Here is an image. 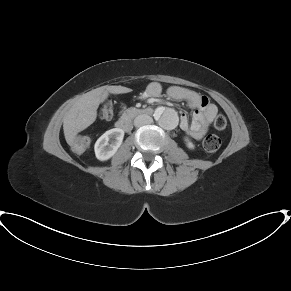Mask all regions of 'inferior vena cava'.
Masks as SVG:
<instances>
[{
  "label": "inferior vena cava",
  "mask_w": 291,
  "mask_h": 291,
  "mask_svg": "<svg viewBox=\"0 0 291 291\" xmlns=\"http://www.w3.org/2000/svg\"><path fill=\"white\" fill-rule=\"evenodd\" d=\"M153 122L152 117L146 114L138 115L134 119V125L135 127H141L143 125L151 124Z\"/></svg>",
  "instance_id": "inferior-vena-cava-1"
}]
</instances>
